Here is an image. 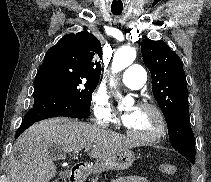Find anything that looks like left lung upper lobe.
<instances>
[{"label":"left lung upper lobe","instance_id":"5c2ea615","mask_svg":"<svg viewBox=\"0 0 211 182\" xmlns=\"http://www.w3.org/2000/svg\"><path fill=\"white\" fill-rule=\"evenodd\" d=\"M141 51L151 73L153 95L167 122L170 143L194 163L195 139L190 125L188 90L182 61L162 40L145 38Z\"/></svg>","mask_w":211,"mask_h":182}]
</instances>
